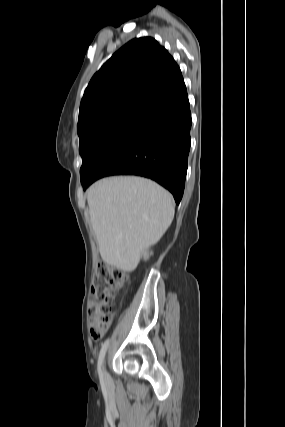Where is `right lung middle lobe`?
<instances>
[{
    "mask_svg": "<svg viewBox=\"0 0 285 427\" xmlns=\"http://www.w3.org/2000/svg\"><path fill=\"white\" fill-rule=\"evenodd\" d=\"M144 106H127L98 117L78 129L83 164L81 183L89 180L99 163L142 112Z\"/></svg>",
    "mask_w": 285,
    "mask_h": 427,
    "instance_id": "dd1d6c3e",
    "label": "right lung middle lobe"
}]
</instances>
